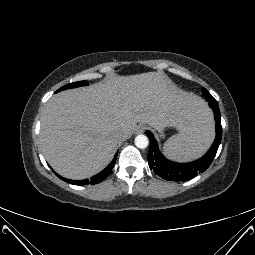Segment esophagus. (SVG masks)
Listing matches in <instances>:
<instances>
[{"label": "esophagus", "instance_id": "1", "mask_svg": "<svg viewBox=\"0 0 255 255\" xmlns=\"http://www.w3.org/2000/svg\"><path fill=\"white\" fill-rule=\"evenodd\" d=\"M145 130V127L143 125H138L135 129V133L139 134V133H143Z\"/></svg>", "mask_w": 255, "mask_h": 255}]
</instances>
